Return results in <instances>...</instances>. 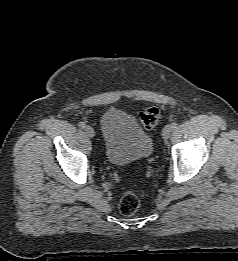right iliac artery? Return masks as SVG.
<instances>
[{
  "label": "right iliac artery",
  "instance_id": "right-iliac-artery-1",
  "mask_svg": "<svg viewBox=\"0 0 238 261\" xmlns=\"http://www.w3.org/2000/svg\"><path fill=\"white\" fill-rule=\"evenodd\" d=\"M78 126H79L81 129H85L86 124H85L84 122H79Z\"/></svg>",
  "mask_w": 238,
  "mask_h": 261
}]
</instances>
